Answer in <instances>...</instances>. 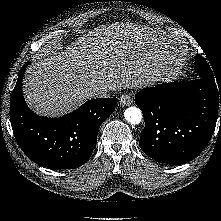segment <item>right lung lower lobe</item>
Returning <instances> with one entry per match:
<instances>
[{"label": "right lung lower lobe", "mask_w": 221, "mask_h": 221, "mask_svg": "<svg viewBox=\"0 0 221 221\" xmlns=\"http://www.w3.org/2000/svg\"><path fill=\"white\" fill-rule=\"evenodd\" d=\"M18 74L10 99V119L22 151L35 163L54 169H73L90 158L102 122L110 116L117 98L93 99L60 118L38 116L26 105L22 93L23 74Z\"/></svg>", "instance_id": "obj_1"}]
</instances>
